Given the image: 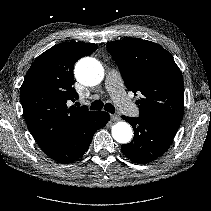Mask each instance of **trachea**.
Wrapping results in <instances>:
<instances>
[{"mask_svg": "<svg viewBox=\"0 0 211 211\" xmlns=\"http://www.w3.org/2000/svg\"><path fill=\"white\" fill-rule=\"evenodd\" d=\"M102 108L111 114L115 113V108L111 103L104 104L101 100H95L90 106L91 110H100Z\"/></svg>", "mask_w": 211, "mask_h": 211, "instance_id": "trachea-1", "label": "trachea"}]
</instances>
